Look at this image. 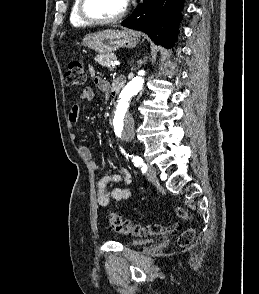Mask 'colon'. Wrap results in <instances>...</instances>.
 Returning <instances> with one entry per match:
<instances>
[{
	"mask_svg": "<svg viewBox=\"0 0 259 294\" xmlns=\"http://www.w3.org/2000/svg\"><path fill=\"white\" fill-rule=\"evenodd\" d=\"M86 82V72L81 62L77 60L70 61L67 71L65 73V84L67 86H82ZM177 214L181 218H187V213L181 209H177ZM107 223L110 230L129 236L148 237V236H161L173 233L176 225H162L158 223H151L143 225L134 223L130 219L122 217L118 213H111L107 217ZM194 238V230L187 229L183 231L178 237V245L185 247L191 243Z\"/></svg>",
	"mask_w": 259,
	"mask_h": 294,
	"instance_id": "5ec220e1",
	"label": "colon"
}]
</instances>
